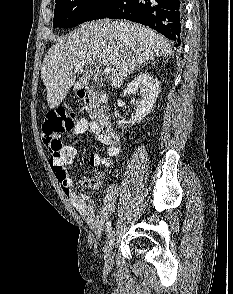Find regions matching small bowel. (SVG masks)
Instances as JSON below:
<instances>
[{"label": "small bowel", "instance_id": "obj_1", "mask_svg": "<svg viewBox=\"0 0 233 294\" xmlns=\"http://www.w3.org/2000/svg\"><path fill=\"white\" fill-rule=\"evenodd\" d=\"M69 133L71 135L88 133L95 141L106 146L107 154L105 156H101L97 153L91 154L89 158V164L91 166L110 167L113 165L114 158L120 153L117 137L106 135L102 131L100 124L96 121H89L84 118L80 119L75 123L73 129L69 131ZM77 155L78 151L74 146H66L59 157H52L49 160V164L55 179L60 184L62 191L68 197L73 207L90 228L97 233L102 230L105 222L113 213L120 196V188L114 183L108 185L101 207L97 213L93 199L87 194L77 190L69 177L67 167L75 161ZM94 177L98 188L103 184L104 173L98 172Z\"/></svg>", "mask_w": 233, "mask_h": 294}]
</instances>
